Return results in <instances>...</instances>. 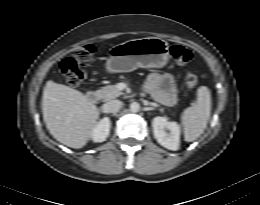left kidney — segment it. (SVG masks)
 Returning <instances> with one entry per match:
<instances>
[{"instance_id":"left-kidney-1","label":"left kidney","mask_w":260,"mask_h":205,"mask_svg":"<svg viewBox=\"0 0 260 205\" xmlns=\"http://www.w3.org/2000/svg\"><path fill=\"white\" fill-rule=\"evenodd\" d=\"M154 137L163 147L176 151L180 143V126L169 122L165 117L157 116L152 120Z\"/></svg>"}]
</instances>
